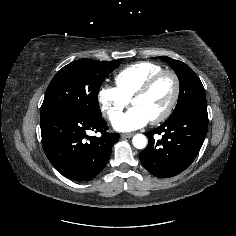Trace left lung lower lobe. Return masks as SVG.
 I'll return each instance as SVG.
<instances>
[{"label": "left lung lower lobe", "mask_w": 236, "mask_h": 236, "mask_svg": "<svg viewBox=\"0 0 236 236\" xmlns=\"http://www.w3.org/2000/svg\"><path fill=\"white\" fill-rule=\"evenodd\" d=\"M207 130V106L191 107L145 133L149 143L139 154L140 161L149 173L158 178L176 176L194 161ZM154 134H162V138L155 141Z\"/></svg>", "instance_id": "obj_1"}]
</instances>
